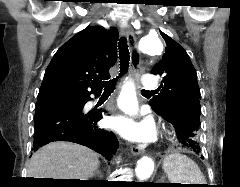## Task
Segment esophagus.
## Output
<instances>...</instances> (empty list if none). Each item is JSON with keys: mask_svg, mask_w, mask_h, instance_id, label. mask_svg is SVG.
<instances>
[{"mask_svg": "<svg viewBox=\"0 0 240 187\" xmlns=\"http://www.w3.org/2000/svg\"><path fill=\"white\" fill-rule=\"evenodd\" d=\"M124 31H125V35H126L129 47L131 49L130 73L132 77L136 81H138L140 77L139 69H140L141 58L137 48L136 37L130 25L126 24L124 26ZM131 152L134 155H141L145 152V146L133 145L131 146Z\"/></svg>", "mask_w": 240, "mask_h": 187, "instance_id": "34e87169", "label": "esophagus"}]
</instances>
